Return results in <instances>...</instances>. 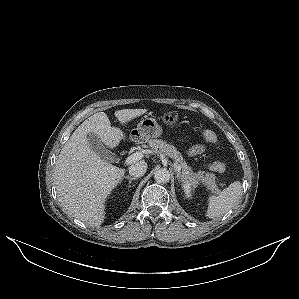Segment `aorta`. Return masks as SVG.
<instances>
[{"mask_svg": "<svg viewBox=\"0 0 299 299\" xmlns=\"http://www.w3.org/2000/svg\"><path fill=\"white\" fill-rule=\"evenodd\" d=\"M154 179L157 183H168L170 181V172L166 168H159L154 172Z\"/></svg>", "mask_w": 299, "mask_h": 299, "instance_id": "1", "label": "aorta"}]
</instances>
